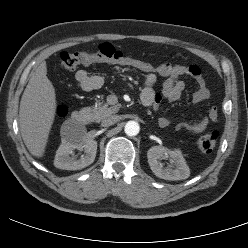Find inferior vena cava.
<instances>
[{
    "label": "inferior vena cava",
    "mask_w": 248,
    "mask_h": 248,
    "mask_svg": "<svg viewBox=\"0 0 248 248\" xmlns=\"http://www.w3.org/2000/svg\"><path fill=\"white\" fill-rule=\"evenodd\" d=\"M118 120H119V117L117 115H110L101 120V125L103 127L111 126L115 124L116 122H118Z\"/></svg>",
    "instance_id": "602c4592"
}]
</instances>
